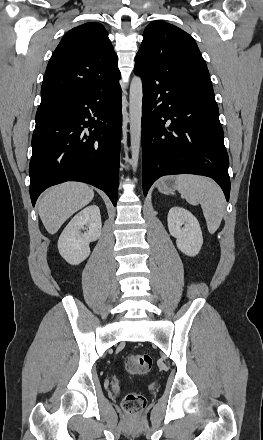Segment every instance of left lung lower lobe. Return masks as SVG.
<instances>
[{"label":"left lung lower lobe","mask_w":263,"mask_h":440,"mask_svg":"<svg viewBox=\"0 0 263 440\" xmlns=\"http://www.w3.org/2000/svg\"><path fill=\"white\" fill-rule=\"evenodd\" d=\"M142 77L143 192L161 176L211 177L230 196L229 158L214 92L172 72L139 67Z\"/></svg>","instance_id":"left-lung-lower-lobe-1"}]
</instances>
